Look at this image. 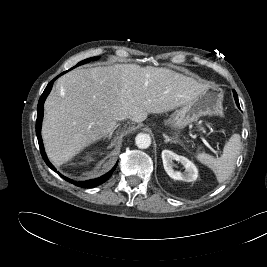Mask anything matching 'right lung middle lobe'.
I'll use <instances>...</instances> for the list:
<instances>
[{
  "mask_svg": "<svg viewBox=\"0 0 267 267\" xmlns=\"http://www.w3.org/2000/svg\"><path fill=\"white\" fill-rule=\"evenodd\" d=\"M96 59H98V57H92V58H89V59H85V60L79 62L76 66L82 65L84 63H87V62H90L91 60H96Z\"/></svg>",
  "mask_w": 267,
  "mask_h": 267,
  "instance_id": "right-lung-middle-lobe-1",
  "label": "right lung middle lobe"
}]
</instances>
